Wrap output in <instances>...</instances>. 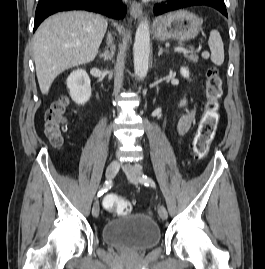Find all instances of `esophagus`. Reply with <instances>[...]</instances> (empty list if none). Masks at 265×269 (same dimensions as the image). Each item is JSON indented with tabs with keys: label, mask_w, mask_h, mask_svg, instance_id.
Wrapping results in <instances>:
<instances>
[{
	"label": "esophagus",
	"mask_w": 265,
	"mask_h": 269,
	"mask_svg": "<svg viewBox=\"0 0 265 269\" xmlns=\"http://www.w3.org/2000/svg\"><path fill=\"white\" fill-rule=\"evenodd\" d=\"M130 14L134 18H142L144 15L143 8L140 3L133 1L130 4Z\"/></svg>",
	"instance_id": "34e87169"
}]
</instances>
